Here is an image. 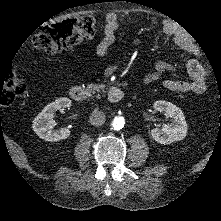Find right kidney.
I'll use <instances>...</instances> for the list:
<instances>
[{
	"instance_id": "obj_1",
	"label": "right kidney",
	"mask_w": 221,
	"mask_h": 221,
	"mask_svg": "<svg viewBox=\"0 0 221 221\" xmlns=\"http://www.w3.org/2000/svg\"><path fill=\"white\" fill-rule=\"evenodd\" d=\"M71 105L72 102L69 98L61 97L45 106L33 120V131L39 136V138L44 139L45 141L57 142L69 137L70 130L68 128L62 127L58 130H54L53 127L56 124L54 120L56 111L70 108Z\"/></svg>"
}]
</instances>
